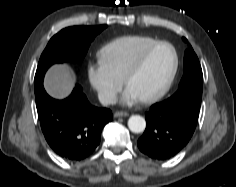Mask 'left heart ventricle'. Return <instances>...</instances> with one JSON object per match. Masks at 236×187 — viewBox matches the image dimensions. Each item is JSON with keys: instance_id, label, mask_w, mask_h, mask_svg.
<instances>
[{"instance_id": "1", "label": "left heart ventricle", "mask_w": 236, "mask_h": 187, "mask_svg": "<svg viewBox=\"0 0 236 187\" xmlns=\"http://www.w3.org/2000/svg\"><path fill=\"white\" fill-rule=\"evenodd\" d=\"M174 62L172 50L167 46L155 49L142 69L129 82L128 88L143 98L157 92L166 82Z\"/></svg>"}]
</instances>
